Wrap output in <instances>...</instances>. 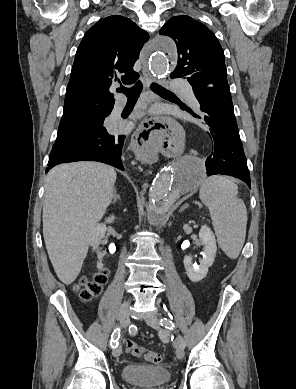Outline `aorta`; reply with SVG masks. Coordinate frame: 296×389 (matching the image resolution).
Wrapping results in <instances>:
<instances>
[{"mask_svg": "<svg viewBox=\"0 0 296 389\" xmlns=\"http://www.w3.org/2000/svg\"><path fill=\"white\" fill-rule=\"evenodd\" d=\"M175 43L168 38H157L153 42L150 68L155 76L173 74L177 67ZM205 167L201 159L186 158L177 171L168 167L155 177L149 192L147 219L150 224L163 221L166 213L179 196L191 192L198 184Z\"/></svg>", "mask_w": 296, "mask_h": 389, "instance_id": "aorta-1", "label": "aorta"}]
</instances>
